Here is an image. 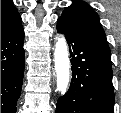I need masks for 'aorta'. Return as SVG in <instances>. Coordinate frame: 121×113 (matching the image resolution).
Masks as SVG:
<instances>
[{
	"mask_svg": "<svg viewBox=\"0 0 121 113\" xmlns=\"http://www.w3.org/2000/svg\"><path fill=\"white\" fill-rule=\"evenodd\" d=\"M57 90L63 95L68 89L70 81V60L68 46L63 36L59 35L54 50Z\"/></svg>",
	"mask_w": 121,
	"mask_h": 113,
	"instance_id": "obj_1",
	"label": "aorta"
}]
</instances>
